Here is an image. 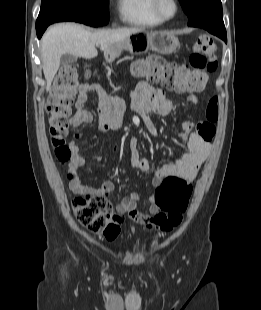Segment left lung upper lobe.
I'll return each instance as SVG.
<instances>
[{
  "mask_svg": "<svg viewBox=\"0 0 261 310\" xmlns=\"http://www.w3.org/2000/svg\"><path fill=\"white\" fill-rule=\"evenodd\" d=\"M188 16V25L202 21H215L224 26L220 0H179Z\"/></svg>",
  "mask_w": 261,
  "mask_h": 310,
  "instance_id": "1",
  "label": "left lung upper lobe"
}]
</instances>
